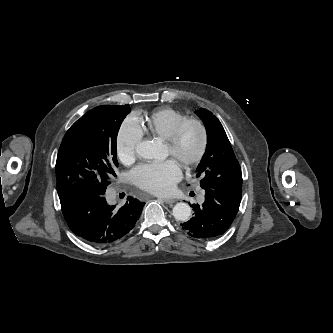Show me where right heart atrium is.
Segmentation results:
<instances>
[{
	"instance_id": "right-heart-atrium-1",
	"label": "right heart atrium",
	"mask_w": 333,
	"mask_h": 333,
	"mask_svg": "<svg viewBox=\"0 0 333 333\" xmlns=\"http://www.w3.org/2000/svg\"><path fill=\"white\" fill-rule=\"evenodd\" d=\"M143 137V131L136 117L128 116L122 122L115 139L116 155L123 164L134 161L136 148Z\"/></svg>"
}]
</instances>
